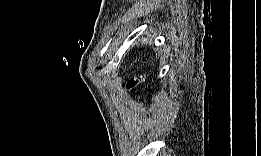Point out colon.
<instances>
[{
	"instance_id": "1",
	"label": "colon",
	"mask_w": 261,
	"mask_h": 156,
	"mask_svg": "<svg viewBox=\"0 0 261 156\" xmlns=\"http://www.w3.org/2000/svg\"><path fill=\"white\" fill-rule=\"evenodd\" d=\"M141 82L140 79L138 78H133L131 79L128 84H127V88L128 89H134L135 87H137L139 85V83Z\"/></svg>"
}]
</instances>
